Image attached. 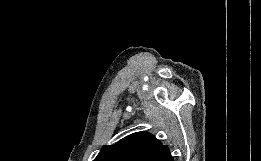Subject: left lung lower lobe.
<instances>
[{
  "mask_svg": "<svg viewBox=\"0 0 261 161\" xmlns=\"http://www.w3.org/2000/svg\"><path fill=\"white\" fill-rule=\"evenodd\" d=\"M155 161H173L169 149L167 148L164 150L156 159Z\"/></svg>",
  "mask_w": 261,
  "mask_h": 161,
  "instance_id": "obj_1",
  "label": "left lung lower lobe"
}]
</instances>
